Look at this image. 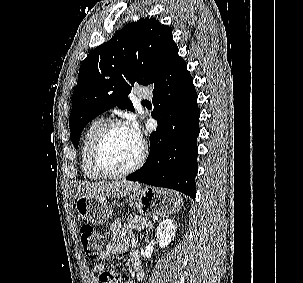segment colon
<instances>
[{
  "label": "colon",
  "mask_w": 303,
  "mask_h": 283,
  "mask_svg": "<svg viewBox=\"0 0 303 283\" xmlns=\"http://www.w3.org/2000/svg\"><path fill=\"white\" fill-rule=\"evenodd\" d=\"M80 241L85 254L90 258H97L102 252L106 238L104 234L91 227H83ZM98 283H118V276L109 271L101 272L98 276Z\"/></svg>",
  "instance_id": "colon-1"
}]
</instances>
